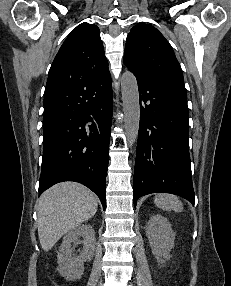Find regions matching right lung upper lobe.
Listing matches in <instances>:
<instances>
[{
	"label": "right lung upper lobe",
	"instance_id": "1",
	"mask_svg": "<svg viewBox=\"0 0 231 286\" xmlns=\"http://www.w3.org/2000/svg\"><path fill=\"white\" fill-rule=\"evenodd\" d=\"M109 74L99 28L80 24L66 38L51 65L44 94L45 112L67 99L80 84Z\"/></svg>",
	"mask_w": 231,
	"mask_h": 286
}]
</instances>
